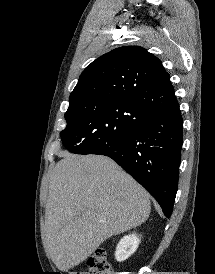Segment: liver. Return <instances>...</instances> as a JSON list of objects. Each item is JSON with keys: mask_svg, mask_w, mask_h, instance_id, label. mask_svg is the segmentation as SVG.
I'll return each instance as SVG.
<instances>
[{"mask_svg": "<svg viewBox=\"0 0 215 274\" xmlns=\"http://www.w3.org/2000/svg\"><path fill=\"white\" fill-rule=\"evenodd\" d=\"M45 211L47 252L61 271L85 261L108 238L150 214L148 193L112 159L61 154Z\"/></svg>", "mask_w": 215, "mask_h": 274, "instance_id": "liver-1", "label": "liver"}]
</instances>
